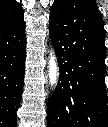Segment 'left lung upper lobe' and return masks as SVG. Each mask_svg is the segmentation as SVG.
<instances>
[{
  "instance_id": "obj_1",
  "label": "left lung upper lobe",
  "mask_w": 108,
  "mask_h": 127,
  "mask_svg": "<svg viewBox=\"0 0 108 127\" xmlns=\"http://www.w3.org/2000/svg\"><path fill=\"white\" fill-rule=\"evenodd\" d=\"M66 70H67V72L65 73V75L67 76L68 84H70L72 87L74 85H77L75 82V80L77 79L76 78V76H77L76 65L73 63L70 66H68Z\"/></svg>"
}]
</instances>
